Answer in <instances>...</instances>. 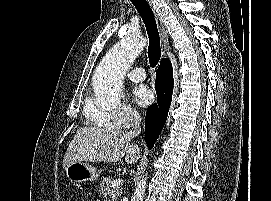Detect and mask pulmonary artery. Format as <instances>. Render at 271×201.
Here are the masks:
<instances>
[{
  "label": "pulmonary artery",
  "mask_w": 271,
  "mask_h": 201,
  "mask_svg": "<svg viewBox=\"0 0 271 201\" xmlns=\"http://www.w3.org/2000/svg\"><path fill=\"white\" fill-rule=\"evenodd\" d=\"M127 77L133 82H141L146 78L144 69L135 68L127 73Z\"/></svg>",
  "instance_id": "1"
}]
</instances>
